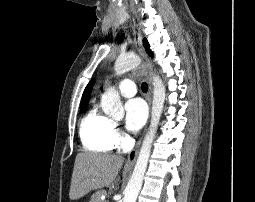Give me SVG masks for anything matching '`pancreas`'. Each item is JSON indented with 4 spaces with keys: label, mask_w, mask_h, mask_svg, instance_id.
<instances>
[{
    "label": "pancreas",
    "mask_w": 255,
    "mask_h": 202,
    "mask_svg": "<svg viewBox=\"0 0 255 202\" xmlns=\"http://www.w3.org/2000/svg\"><path fill=\"white\" fill-rule=\"evenodd\" d=\"M107 192L105 190H99L96 191L92 196H91V200L89 202H102V200L100 199L101 195H106Z\"/></svg>",
    "instance_id": "obj_1"
}]
</instances>
